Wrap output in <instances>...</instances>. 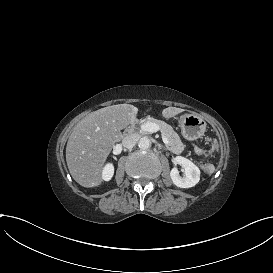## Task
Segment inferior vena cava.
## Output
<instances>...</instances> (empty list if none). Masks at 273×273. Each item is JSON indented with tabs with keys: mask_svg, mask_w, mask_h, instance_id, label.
Wrapping results in <instances>:
<instances>
[{
	"mask_svg": "<svg viewBox=\"0 0 273 273\" xmlns=\"http://www.w3.org/2000/svg\"><path fill=\"white\" fill-rule=\"evenodd\" d=\"M139 137L137 134H130L122 140V145L126 148H132L135 146Z\"/></svg>",
	"mask_w": 273,
	"mask_h": 273,
	"instance_id": "1",
	"label": "inferior vena cava"
}]
</instances>
